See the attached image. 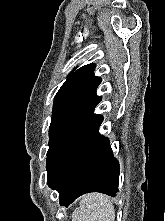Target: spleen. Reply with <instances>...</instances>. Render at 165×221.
I'll return each mask as SVG.
<instances>
[{"mask_svg":"<svg viewBox=\"0 0 165 221\" xmlns=\"http://www.w3.org/2000/svg\"><path fill=\"white\" fill-rule=\"evenodd\" d=\"M115 210L109 198L91 193L81 197L80 206L72 215V221H114Z\"/></svg>","mask_w":165,"mask_h":221,"instance_id":"obj_1","label":"spleen"}]
</instances>
